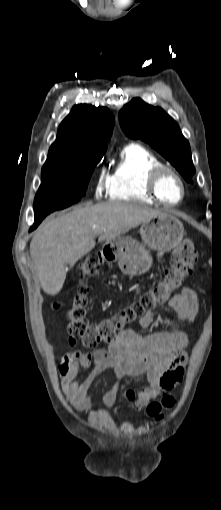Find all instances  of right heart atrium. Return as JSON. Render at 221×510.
I'll return each mask as SVG.
<instances>
[{"label":"right heart atrium","mask_w":221,"mask_h":510,"mask_svg":"<svg viewBox=\"0 0 221 510\" xmlns=\"http://www.w3.org/2000/svg\"><path fill=\"white\" fill-rule=\"evenodd\" d=\"M108 186V177L105 173H101L97 180L96 196H101Z\"/></svg>","instance_id":"d8ad5b80"}]
</instances>
